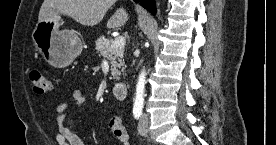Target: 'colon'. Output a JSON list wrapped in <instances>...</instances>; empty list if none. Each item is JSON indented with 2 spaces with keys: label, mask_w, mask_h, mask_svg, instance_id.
Masks as SVG:
<instances>
[{
  "label": "colon",
  "mask_w": 276,
  "mask_h": 145,
  "mask_svg": "<svg viewBox=\"0 0 276 145\" xmlns=\"http://www.w3.org/2000/svg\"><path fill=\"white\" fill-rule=\"evenodd\" d=\"M29 76L34 93L44 94L51 90V82L41 70L33 69L30 71Z\"/></svg>",
  "instance_id": "colon-1"
}]
</instances>
